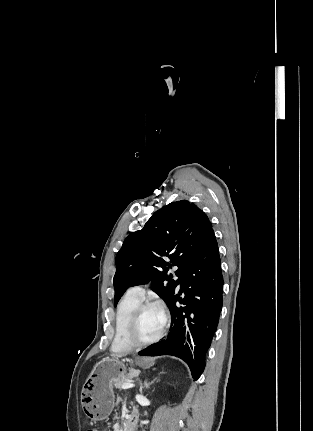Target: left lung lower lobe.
Instances as JSON below:
<instances>
[{
  "mask_svg": "<svg viewBox=\"0 0 313 431\" xmlns=\"http://www.w3.org/2000/svg\"><path fill=\"white\" fill-rule=\"evenodd\" d=\"M223 283L218 244L211 229L183 273L179 294L167 304L171 313L168 335L139 355L179 357L188 364L192 377L197 380L204 370L205 355L217 329L223 305ZM176 301L184 306L177 307Z\"/></svg>",
  "mask_w": 313,
  "mask_h": 431,
  "instance_id": "left-lung-lower-lobe-1",
  "label": "left lung lower lobe"
}]
</instances>
